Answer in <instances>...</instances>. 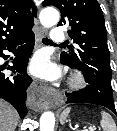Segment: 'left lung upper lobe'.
I'll return each mask as SVG.
<instances>
[{
	"label": "left lung upper lobe",
	"instance_id": "obj_1",
	"mask_svg": "<svg viewBox=\"0 0 117 131\" xmlns=\"http://www.w3.org/2000/svg\"><path fill=\"white\" fill-rule=\"evenodd\" d=\"M42 5L61 11L60 25L70 26L68 33L78 45L62 52L63 64L81 70L89 80L111 89L110 52L101 7L97 0H44Z\"/></svg>",
	"mask_w": 117,
	"mask_h": 131
}]
</instances>
